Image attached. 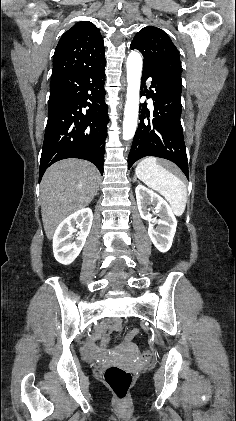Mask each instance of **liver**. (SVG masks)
Masks as SVG:
<instances>
[{
    "mask_svg": "<svg viewBox=\"0 0 236 421\" xmlns=\"http://www.w3.org/2000/svg\"><path fill=\"white\" fill-rule=\"evenodd\" d=\"M99 172L88 160L64 158L47 168L40 184L44 231L51 241L60 223L88 206L96 194Z\"/></svg>",
    "mask_w": 236,
    "mask_h": 421,
    "instance_id": "1",
    "label": "liver"
}]
</instances>
